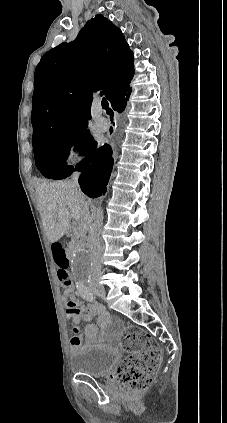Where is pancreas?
Instances as JSON below:
<instances>
[{"mask_svg":"<svg viewBox=\"0 0 227 423\" xmlns=\"http://www.w3.org/2000/svg\"><path fill=\"white\" fill-rule=\"evenodd\" d=\"M79 229H83V227H81V225H80Z\"/></svg>","mask_w":227,"mask_h":423,"instance_id":"obj_1","label":"pancreas"}]
</instances>
